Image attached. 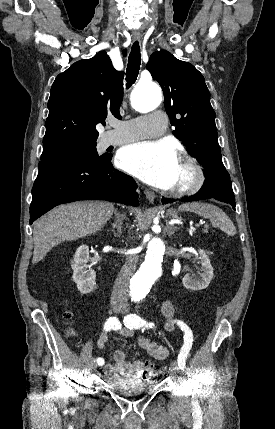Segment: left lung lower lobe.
I'll use <instances>...</instances> for the list:
<instances>
[{
	"mask_svg": "<svg viewBox=\"0 0 275 429\" xmlns=\"http://www.w3.org/2000/svg\"><path fill=\"white\" fill-rule=\"evenodd\" d=\"M214 198L229 203L235 209V198L230 178L210 176L205 179L202 188L193 196L181 199L182 202L197 201ZM162 203H171L174 200L162 198Z\"/></svg>",
	"mask_w": 275,
	"mask_h": 429,
	"instance_id": "1",
	"label": "left lung lower lobe"
}]
</instances>
